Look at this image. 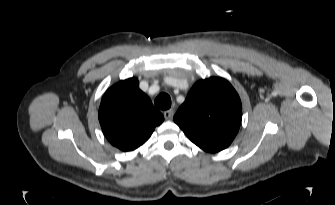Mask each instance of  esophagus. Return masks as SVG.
<instances>
[{
    "mask_svg": "<svg viewBox=\"0 0 335 205\" xmlns=\"http://www.w3.org/2000/svg\"><path fill=\"white\" fill-rule=\"evenodd\" d=\"M164 117H165V119H171L172 117H173V115H174V110L173 109H169V110H166V111H164Z\"/></svg>",
    "mask_w": 335,
    "mask_h": 205,
    "instance_id": "34e87169",
    "label": "esophagus"
}]
</instances>
